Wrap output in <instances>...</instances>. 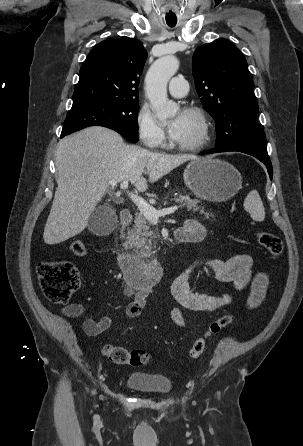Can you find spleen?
I'll list each match as a JSON object with an SVG mask.
<instances>
[{"label":"spleen","mask_w":303,"mask_h":446,"mask_svg":"<svg viewBox=\"0 0 303 446\" xmlns=\"http://www.w3.org/2000/svg\"><path fill=\"white\" fill-rule=\"evenodd\" d=\"M243 206L253 220L258 222L264 220L265 209L259 193L256 190H252L247 194Z\"/></svg>","instance_id":"1"}]
</instances>
